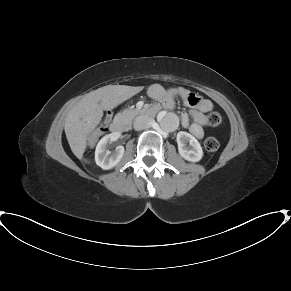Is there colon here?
Instances as JSON below:
<instances>
[{
    "label": "colon",
    "instance_id": "obj_1",
    "mask_svg": "<svg viewBox=\"0 0 291 291\" xmlns=\"http://www.w3.org/2000/svg\"><path fill=\"white\" fill-rule=\"evenodd\" d=\"M111 116H108V120H110ZM206 122L209 126H218L222 123V116L218 112H210L207 115ZM205 149L208 152H215L219 148V142L214 137H209L205 140L204 143Z\"/></svg>",
    "mask_w": 291,
    "mask_h": 291
}]
</instances>
